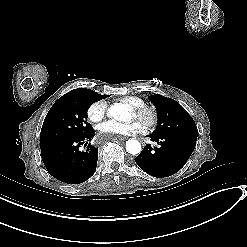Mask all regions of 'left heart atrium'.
Returning a JSON list of instances; mask_svg holds the SVG:
<instances>
[{"label": "left heart atrium", "instance_id": "obj_1", "mask_svg": "<svg viewBox=\"0 0 247 247\" xmlns=\"http://www.w3.org/2000/svg\"><path fill=\"white\" fill-rule=\"evenodd\" d=\"M139 128L140 125L137 122L116 123L108 121L98 126L95 141L96 143H103L114 139L116 135H130L136 133Z\"/></svg>", "mask_w": 247, "mask_h": 247}]
</instances>
